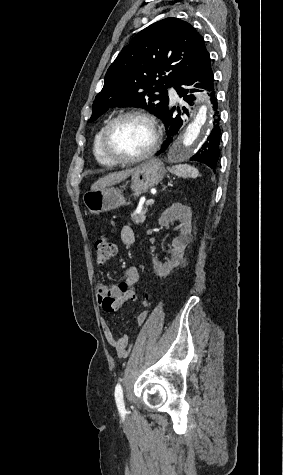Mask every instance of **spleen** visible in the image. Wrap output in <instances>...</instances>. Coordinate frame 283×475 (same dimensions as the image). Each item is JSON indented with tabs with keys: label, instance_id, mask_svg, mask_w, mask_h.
I'll use <instances>...</instances> for the list:
<instances>
[{
	"label": "spleen",
	"instance_id": "spleen-1",
	"mask_svg": "<svg viewBox=\"0 0 283 475\" xmlns=\"http://www.w3.org/2000/svg\"><path fill=\"white\" fill-rule=\"evenodd\" d=\"M171 174H175L178 178H198L200 172L194 166H189V164H179V166H171L167 168Z\"/></svg>",
	"mask_w": 283,
	"mask_h": 475
}]
</instances>
